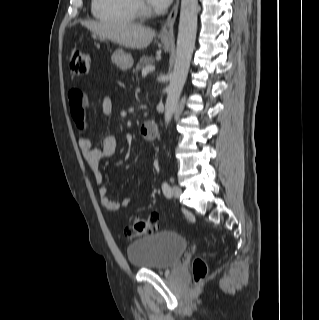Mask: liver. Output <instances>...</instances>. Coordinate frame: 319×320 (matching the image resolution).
Returning a JSON list of instances; mask_svg holds the SVG:
<instances>
[{"instance_id":"liver-1","label":"liver","mask_w":319,"mask_h":320,"mask_svg":"<svg viewBox=\"0 0 319 320\" xmlns=\"http://www.w3.org/2000/svg\"><path fill=\"white\" fill-rule=\"evenodd\" d=\"M82 25L96 35L131 49L146 48L155 36L151 28L130 22L84 21Z\"/></svg>"}]
</instances>
